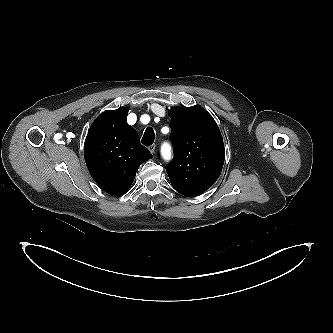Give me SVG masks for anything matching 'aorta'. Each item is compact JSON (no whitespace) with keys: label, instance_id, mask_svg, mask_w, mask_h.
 Segmentation results:
<instances>
[{"label":"aorta","instance_id":"1","mask_svg":"<svg viewBox=\"0 0 333 333\" xmlns=\"http://www.w3.org/2000/svg\"><path fill=\"white\" fill-rule=\"evenodd\" d=\"M162 154L165 158H168L170 156V147L168 145H165L163 147Z\"/></svg>","mask_w":333,"mask_h":333}]
</instances>
